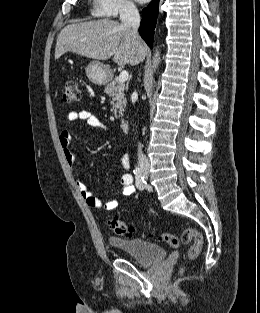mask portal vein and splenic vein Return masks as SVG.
<instances>
[{
	"label": "portal vein and splenic vein",
	"mask_w": 260,
	"mask_h": 313,
	"mask_svg": "<svg viewBox=\"0 0 260 313\" xmlns=\"http://www.w3.org/2000/svg\"><path fill=\"white\" fill-rule=\"evenodd\" d=\"M128 78H129V73H128V71L123 70V71L120 73V75H119V77H118V80H119V82L124 83V82H126V81L128 80Z\"/></svg>",
	"instance_id": "portal-vein-and-splenic-vein-1"
}]
</instances>
